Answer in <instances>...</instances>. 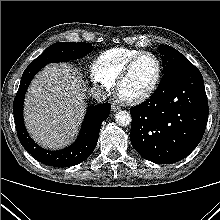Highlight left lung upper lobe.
I'll use <instances>...</instances> for the list:
<instances>
[{"label": "left lung upper lobe", "instance_id": "1", "mask_svg": "<svg viewBox=\"0 0 220 220\" xmlns=\"http://www.w3.org/2000/svg\"><path fill=\"white\" fill-rule=\"evenodd\" d=\"M159 52L162 56L164 73L172 68L191 64V62L183 54L171 46L162 45L159 48Z\"/></svg>", "mask_w": 220, "mask_h": 220}]
</instances>
